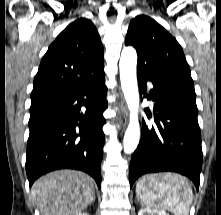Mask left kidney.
<instances>
[{
  "instance_id": "obj_1",
  "label": "left kidney",
  "mask_w": 221,
  "mask_h": 215,
  "mask_svg": "<svg viewBox=\"0 0 221 215\" xmlns=\"http://www.w3.org/2000/svg\"><path fill=\"white\" fill-rule=\"evenodd\" d=\"M138 215H169L163 210H153L148 208H142L139 210Z\"/></svg>"
}]
</instances>
